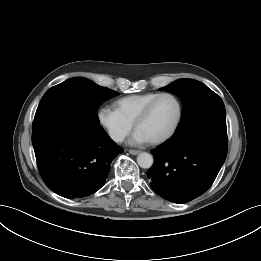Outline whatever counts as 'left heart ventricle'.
<instances>
[{
    "label": "left heart ventricle",
    "instance_id": "b2bd125f",
    "mask_svg": "<svg viewBox=\"0 0 261 261\" xmlns=\"http://www.w3.org/2000/svg\"><path fill=\"white\" fill-rule=\"evenodd\" d=\"M177 116V104L170 97L161 98L153 107L149 116L137 129L148 139H156L169 131Z\"/></svg>",
    "mask_w": 261,
    "mask_h": 261
}]
</instances>
